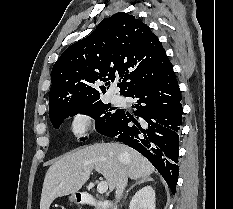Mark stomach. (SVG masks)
Returning <instances> with one entry per match:
<instances>
[{"label": "stomach", "instance_id": "0dacf381", "mask_svg": "<svg viewBox=\"0 0 233 209\" xmlns=\"http://www.w3.org/2000/svg\"><path fill=\"white\" fill-rule=\"evenodd\" d=\"M69 201H70V202H74V203H78V200H77V197H76V193H75V194H72V195L69 197Z\"/></svg>", "mask_w": 233, "mask_h": 209}]
</instances>
